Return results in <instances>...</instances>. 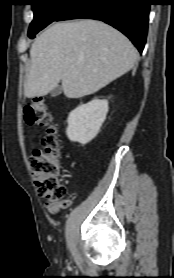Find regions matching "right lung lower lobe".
Returning <instances> with one entry per match:
<instances>
[{
	"mask_svg": "<svg viewBox=\"0 0 174 278\" xmlns=\"http://www.w3.org/2000/svg\"><path fill=\"white\" fill-rule=\"evenodd\" d=\"M148 0H75L55 21L97 19L110 24L142 52L147 36Z\"/></svg>",
	"mask_w": 174,
	"mask_h": 278,
	"instance_id": "right-lung-lower-lobe-1",
	"label": "right lung lower lobe"
}]
</instances>
